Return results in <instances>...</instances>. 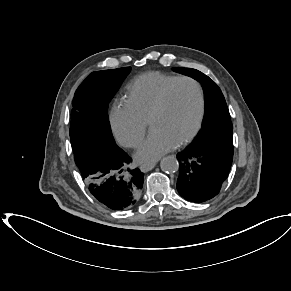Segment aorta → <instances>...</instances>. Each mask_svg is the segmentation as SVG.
Wrapping results in <instances>:
<instances>
[{
    "mask_svg": "<svg viewBox=\"0 0 291 291\" xmlns=\"http://www.w3.org/2000/svg\"><path fill=\"white\" fill-rule=\"evenodd\" d=\"M161 170L168 173H174L178 171V160L174 156L164 157L160 162Z\"/></svg>",
    "mask_w": 291,
    "mask_h": 291,
    "instance_id": "1",
    "label": "aorta"
}]
</instances>
